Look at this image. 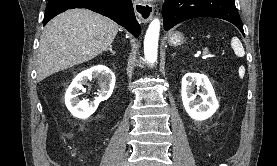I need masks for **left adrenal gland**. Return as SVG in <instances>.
Returning a JSON list of instances; mask_svg holds the SVG:
<instances>
[{"mask_svg": "<svg viewBox=\"0 0 277 166\" xmlns=\"http://www.w3.org/2000/svg\"><path fill=\"white\" fill-rule=\"evenodd\" d=\"M172 56L174 57V56H175V53H174V54H172Z\"/></svg>", "mask_w": 277, "mask_h": 166, "instance_id": "left-adrenal-gland-1", "label": "left adrenal gland"}]
</instances>
